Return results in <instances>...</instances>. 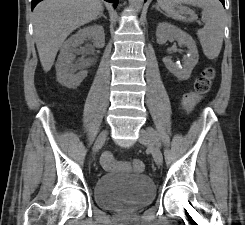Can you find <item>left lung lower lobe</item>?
<instances>
[{"label":"left lung lower lobe","instance_id":"1","mask_svg":"<svg viewBox=\"0 0 245 225\" xmlns=\"http://www.w3.org/2000/svg\"><path fill=\"white\" fill-rule=\"evenodd\" d=\"M146 1V0H145ZM222 2V4L224 5V0H220Z\"/></svg>","mask_w":245,"mask_h":225}]
</instances>
